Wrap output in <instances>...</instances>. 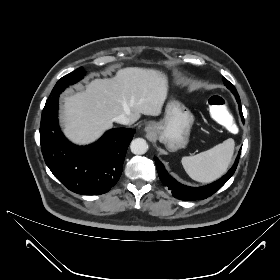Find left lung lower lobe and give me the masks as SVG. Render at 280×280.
Wrapping results in <instances>:
<instances>
[{"label": "left lung lower lobe", "mask_w": 280, "mask_h": 280, "mask_svg": "<svg viewBox=\"0 0 280 280\" xmlns=\"http://www.w3.org/2000/svg\"><path fill=\"white\" fill-rule=\"evenodd\" d=\"M235 97L239 104V111H240L241 119L244 122L240 98H239V96H235ZM240 152L241 151H239L234 165L222 178H220L216 182H213L212 184H209V185L203 186V187H198V188L188 187V186H184V185L178 183L175 179H173L171 176H169V174L166 172L162 163L157 158H154V159H155V163H156V167H157V171H158L160 180L164 184V186L168 187V189L171 190L172 195L175 198H178L180 200L194 201V200L205 199V198L213 195L230 179V177L234 174V172L237 168L239 158H240Z\"/></svg>", "instance_id": "0a47b994"}]
</instances>
